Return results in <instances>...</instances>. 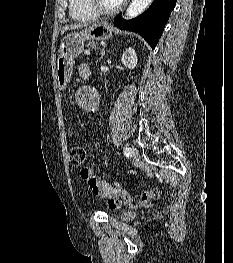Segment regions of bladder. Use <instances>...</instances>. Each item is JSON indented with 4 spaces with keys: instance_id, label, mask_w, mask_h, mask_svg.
I'll return each mask as SVG.
<instances>
[{
    "instance_id": "bladder-1",
    "label": "bladder",
    "mask_w": 233,
    "mask_h": 263,
    "mask_svg": "<svg viewBox=\"0 0 233 263\" xmlns=\"http://www.w3.org/2000/svg\"><path fill=\"white\" fill-rule=\"evenodd\" d=\"M119 217L124 221H130L135 218V213L133 211H122Z\"/></svg>"
}]
</instances>
